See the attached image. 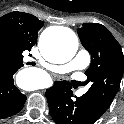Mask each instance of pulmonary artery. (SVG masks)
<instances>
[{
	"instance_id": "obj_1",
	"label": "pulmonary artery",
	"mask_w": 124,
	"mask_h": 124,
	"mask_svg": "<svg viewBox=\"0 0 124 124\" xmlns=\"http://www.w3.org/2000/svg\"><path fill=\"white\" fill-rule=\"evenodd\" d=\"M90 61V53L85 49H81L72 61L62 65H47L44 68L53 73L63 74L73 70L85 69L90 64ZM83 93L84 91H79L77 95L81 96Z\"/></svg>"
}]
</instances>
